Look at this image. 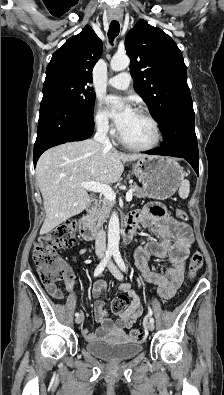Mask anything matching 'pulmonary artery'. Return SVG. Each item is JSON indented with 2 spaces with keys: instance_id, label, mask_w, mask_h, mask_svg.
Wrapping results in <instances>:
<instances>
[{
  "instance_id": "e3ab8cb5",
  "label": "pulmonary artery",
  "mask_w": 224,
  "mask_h": 395,
  "mask_svg": "<svg viewBox=\"0 0 224 395\" xmlns=\"http://www.w3.org/2000/svg\"><path fill=\"white\" fill-rule=\"evenodd\" d=\"M130 82L131 77L127 72H122L116 76H113L107 81L109 86L119 90H126L129 87Z\"/></svg>"
}]
</instances>
